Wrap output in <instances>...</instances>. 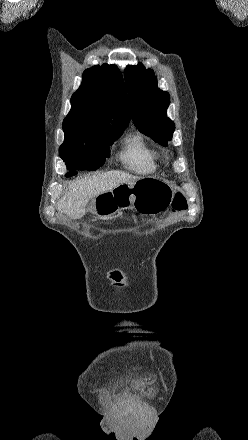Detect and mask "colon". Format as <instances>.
<instances>
[{
	"mask_svg": "<svg viewBox=\"0 0 248 440\" xmlns=\"http://www.w3.org/2000/svg\"><path fill=\"white\" fill-rule=\"evenodd\" d=\"M187 208V200L182 193H176L172 202L173 211H182Z\"/></svg>",
	"mask_w": 248,
	"mask_h": 440,
	"instance_id": "5ec220e1",
	"label": "colon"
}]
</instances>
